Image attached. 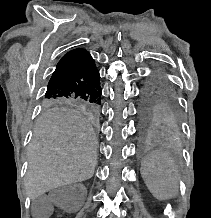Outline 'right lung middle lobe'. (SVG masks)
Wrapping results in <instances>:
<instances>
[{"label":"right lung middle lobe","instance_id":"right-lung-middle-lobe-1","mask_svg":"<svg viewBox=\"0 0 211 218\" xmlns=\"http://www.w3.org/2000/svg\"><path fill=\"white\" fill-rule=\"evenodd\" d=\"M101 104L77 97H45L42 107L45 110H54L63 107H81L91 113H97Z\"/></svg>","mask_w":211,"mask_h":218}]
</instances>
